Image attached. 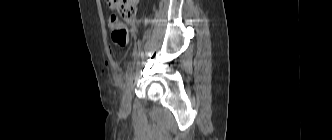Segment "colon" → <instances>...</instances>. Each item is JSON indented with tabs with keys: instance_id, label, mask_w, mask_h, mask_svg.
<instances>
[{
	"instance_id": "5ec220e1",
	"label": "colon",
	"mask_w": 332,
	"mask_h": 140,
	"mask_svg": "<svg viewBox=\"0 0 332 140\" xmlns=\"http://www.w3.org/2000/svg\"><path fill=\"white\" fill-rule=\"evenodd\" d=\"M105 2L122 18L131 19L136 15L139 0H105ZM109 28L113 42L119 46H124L127 42V29L115 15L109 19Z\"/></svg>"
}]
</instances>
